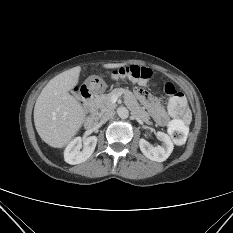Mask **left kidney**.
<instances>
[{"mask_svg": "<svg viewBox=\"0 0 233 233\" xmlns=\"http://www.w3.org/2000/svg\"><path fill=\"white\" fill-rule=\"evenodd\" d=\"M157 137L163 142L162 146H152L145 139L139 140V147L141 152L150 160L156 162L165 161L173 151V142L170 137L163 132H157Z\"/></svg>", "mask_w": 233, "mask_h": 233, "instance_id": "left-kidney-1", "label": "left kidney"}]
</instances>
